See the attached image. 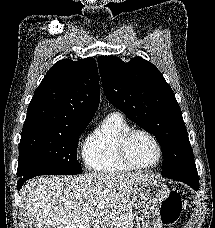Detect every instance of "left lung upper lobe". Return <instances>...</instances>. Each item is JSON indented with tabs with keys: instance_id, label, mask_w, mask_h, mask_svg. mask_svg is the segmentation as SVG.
Listing matches in <instances>:
<instances>
[{
	"instance_id": "1",
	"label": "left lung upper lobe",
	"mask_w": 215,
	"mask_h": 228,
	"mask_svg": "<svg viewBox=\"0 0 215 228\" xmlns=\"http://www.w3.org/2000/svg\"><path fill=\"white\" fill-rule=\"evenodd\" d=\"M98 65L108 101L160 144L162 175L195 167L180 106L160 71L141 57L124 63L114 56H101Z\"/></svg>"
}]
</instances>
